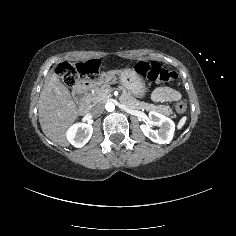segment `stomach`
Masks as SVG:
<instances>
[{
    "label": "stomach",
    "mask_w": 236,
    "mask_h": 236,
    "mask_svg": "<svg viewBox=\"0 0 236 236\" xmlns=\"http://www.w3.org/2000/svg\"><path fill=\"white\" fill-rule=\"evenodd\" d=\"M119 80L125 89L135 98L142 99L147 95V85L143 77L134 69H124L119 73ZM101 83L114 82V76H104Z\"/></svg>",
    "instance_id": "1"
}]
</instances>
